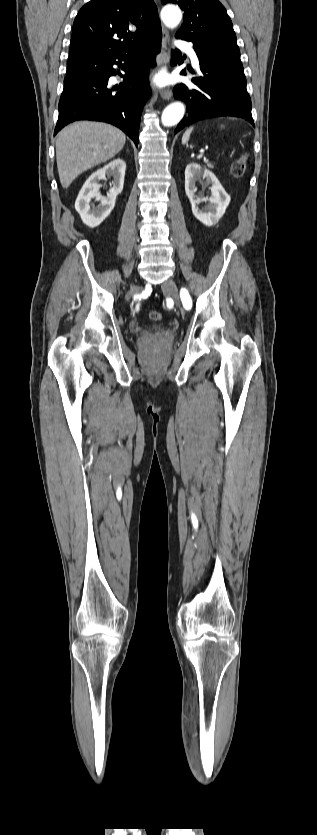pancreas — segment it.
I'll return each mask as SVG.
<instances>
[{
  "label": "pancreas",
  "instance_id": "cf45deb5",
  "mask_svg": "<svg viewBox=\"0 0 317 835\" xmlns=\"http://www.w3.org/2000/svg\"><path fill=\"white\" fill-rule=\"evenodd\" d=\"M207 166H208L209 168H213V167H214V166H213L212 164H210V163H208V164H207Z\"/></svg>",
  "mask_w": 317,
  "mask_h": 835
}]
</instances>
